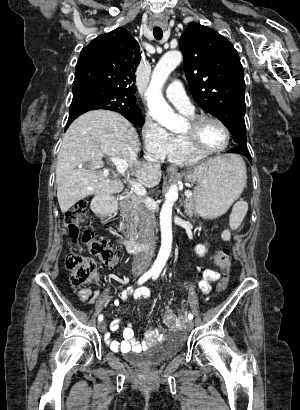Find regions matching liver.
Returning <instances> with one entry per match:
<instances>
[{"label":"liver","mask_w":300,"mask_h":410,"mask_svg":"<svg viewBox=\"0 0 300 410\" xmlns=\"http://www.w3.org/2000/svg\"><path fill=\"white\" fill-rule=\"evenodd\" d=\"M139 151L138 134L122 115L94 110L78 117L66 131L57 158V199L62 213L89 195H109L123 190L121 181L108 179L106 174L96 171L103 166L105 155L124 160L142 186H157L161 170L138 161ZM232 159L234 155L217 156L199 166ZM86 162H91L89 169H76Z\"/></svg>","instance_id":"6515ba94"}]
</instances>
